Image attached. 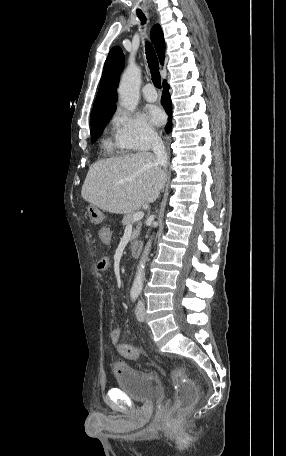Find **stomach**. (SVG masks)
I'll use <instances>...</instances> for the list:
<instances>
[{
    "label": "stomach",
    "instance_id": "obj_1",
    "mask_svg": "<svg viewBox=\"0 0 286 456\" xmlns=\"http://www.w3.org/2000/svg\"><path fill=\"white\" fill-rule=\"evenodd\" d=\"M88 216L94 223L100 222V220L103 218L102 212L94 205L88 207Z\"/></svg>",
    "mask_w": 286,
    "mask_h": 456
}]
</instances>
